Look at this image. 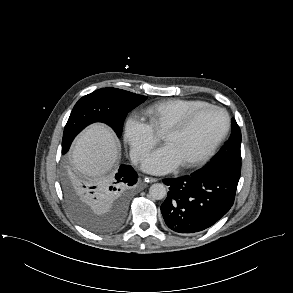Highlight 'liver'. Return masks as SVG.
I'll return each mask as SVG.
<instances>
[{"mask_svg": "<svg viewBox=\"0 0 293 293\" xmlns=\"http://www.w3.org/2000/svg\"><path fill=\"white\" fill-rule=\"evenodd\" d=\"M120 145L103 124H93L76 139L72 162L77 172L88 178H100L116 164Z\"/></svg>", "mask_w": 293, "mask_h": 293, "instance_id": "1", "label": "liver"}]
</instances>
